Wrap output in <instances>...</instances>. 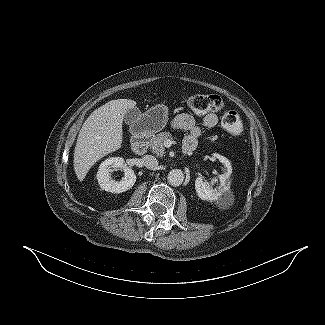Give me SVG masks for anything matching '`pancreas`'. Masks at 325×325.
<instances>
[{
    "label": "pancreas",
    "mask_w": 325,
    "mask_h": 325,
    "mask_svg": "<svg viewBox=\"0 0 325 325\" xmlns=\"http://www.w3.org/2000/svg\"><path fill=\"white\" fill-rule=\"evenodd\" d=\"M168 139H172V135L169 132H161L157 135H155L150 143V148L152 150V153H154L156 156H164L165 154V147L164 142Z\"/></svg>",
    "instance_id": "cf45deb5"
}]
</instances>
